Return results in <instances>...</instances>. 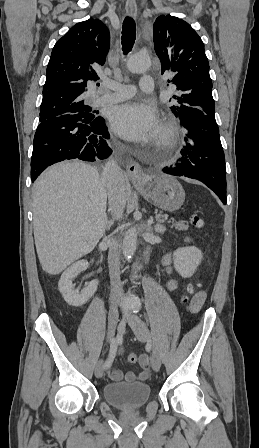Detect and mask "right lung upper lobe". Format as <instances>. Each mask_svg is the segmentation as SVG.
Instances as JSON below:
<instances>
[{
    "instance_id": "obj_1",
    "label": "right lung upper lobe",
    "mask_w": 259,
    "mask_h": 448,
    "mask_svg": "<svg viewBox=\"0 0 259 448\" xmlns=\"http://www.w3.org/2000/svg\"><path fill=\"white\" fill-rule=\"evenodd\" d=\"M109 47V30L99 19L77 23L61 37L47 66L40 114L85 105L87 81L99 79Z\"/></svg>"
}]
</instances>
